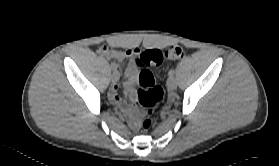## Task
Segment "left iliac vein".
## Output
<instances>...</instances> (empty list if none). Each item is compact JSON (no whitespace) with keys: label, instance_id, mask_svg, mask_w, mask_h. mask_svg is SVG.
Returning a JSON list of instances; mask_svg holds the SVG:
<instances>
[{"label":"left iliac vein","instance_id":"4c4485c4","mask_svg":"<svg viewBox=\"0 0 279 166\" xmlns=\"http://www.w3.org/2000/svg\"><path fill=\"white\" fill-rule=\"evenodd\" d=\"M167 87L169 90H174L177 87L176 79L173 76L168 78Z\"/></svg>","mask_w":279,"mask_h":166}]
</instances>
